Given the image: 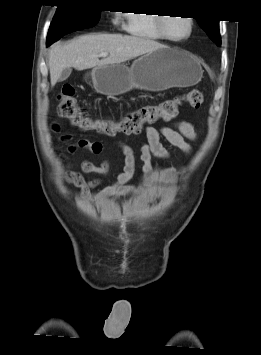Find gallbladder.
Here are the masks:
<instances>
[{
    "instance_id": "gallbladder-1",
    "label": "gallbladder",
    "mask_w": 261,
    "mask_h": 355,
    "mask_svg": "<svg viewBox=\"0 0 261 355\" xmlns=\"http://www.w3.org/2000/svg\"><path fill=\"white\" fill-rule=\"evenodd\" d=\"M71 72H72L71 68H65L59 77V82L65 81L70 76Z\"/></svg>"
}]
</instances>
